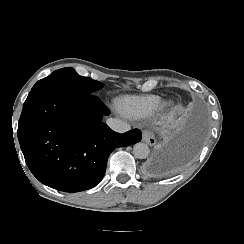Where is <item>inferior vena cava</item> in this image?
Masks as SVG:
<instances>
[{
  "mask_svg": "<svg viewBox=\"0 0 244 244\" xmlns=\"http://www.w3.org/2000/svg\"><path fill=\"white\" fill-rule=\"evenodd\" d=\"M107 125L114 131L119 133H124L126 131L130 130V125L126 122H123L120 119L117 118H109L106 121Z\"/></svg>",
  "mask_w": 244,
  "mask_h": 244,
  "instance_id": "1",
  "label": "inferior vena cava"
}]
</instances>
